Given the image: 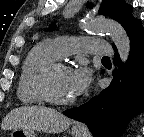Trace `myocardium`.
<instances>
[{"instance_id": "obj_1", "label": "myocardium", "mask_w": 144, "mask_h": 137, "mask_svg": "<svg viewBox=\"0 0 144 137\" xmlns=\"http://www.w3.org/2000/svg\"><path fill=\"white\" fill-rule=\"evenodd\" d=\"M59 68L70 69L68 64L56 60L43 66L36 75L35 88L40 98L47 103L60 106L71 105L75 102L74 97L68 99H60L54 96L50 89L51 76Z\"/></svg>"}]
</instances>
